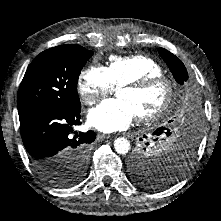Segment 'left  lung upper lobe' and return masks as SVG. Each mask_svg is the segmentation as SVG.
Returning <instances> with one entry per match:
<instances>
[{
    "instance_id": "obj_1",
    "label": "left lung upper lobe",
    "mask_w": 221,
    "mask_h": 221,
    "mask_svg": "<svg viewBox=\"0 0 221 221\" xmlns=\"http://www.w3.org/2000/svg\"><path fill=\"white\" fill-rule=\"evenodd\" d=\"M159 54L167 63L177 83L183 84L188 79L184 64L164 48H159ZM155 132L154 135L160 136ZM187 165L188 163L185 164L180 160L178 153L177 155L169 154L168 156L154 157L149 155L146 149L135 152L130 159L133 181L150 189H161L168 186L169 183L176 180L178 172L184 170Z\"/></svg>"
}]
</instances>
